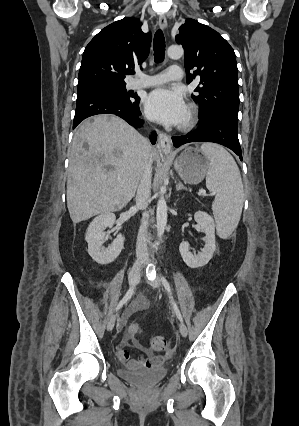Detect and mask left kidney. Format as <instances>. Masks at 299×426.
I'll list each match as a JSON object with an SVG mask.
<instances>
[{
  "instance_id": "obj_1",
  "label": "left kidney",
  "mask_w": 299,
  "mask_h": 426,
  "mask_svg": "<svg viewBox=\"0 0 299 426\" xmlns=\"http://www.w3.org/2000/svg\"><path fill=\"white\" fill-rule=\"evenodd\" d=\"M194 219L205 232V245L197 255L190 251L189 243L182 242L179 251L183 261L190 268H198L206 265L213 257L216 250L215 224L213 218L203 211L194 214Z\"/></svg>"
}]
</instances>
